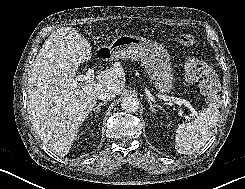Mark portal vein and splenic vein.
<instances>
[{"instance_id":"1","label":"portal vein and splenic vein","mask_w":245,"mask_h":189,"mask_svg":"<svg viewBox=\"0 0 245 189\" xmlns=\"http://www.w3.org/2000/svg\"><path fill=\"white\" fill-rule=\"evenodd\" d=\"M93 79H94V69H88L86 75L76 76V80L82 81V82H90ZM160 97L165 101H170V102H173V103L178 104V105L186 106L187 108H189L191 110L193 117H195L197 115V112L195 111L193 106L190 104V102H188L185 99H180V98H176V97H166V96H160Z\"/></svg>"}]
</instances>
